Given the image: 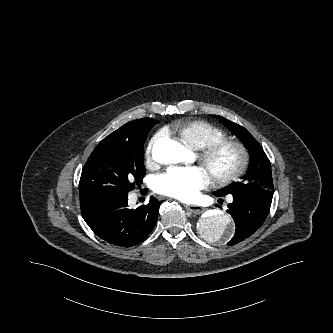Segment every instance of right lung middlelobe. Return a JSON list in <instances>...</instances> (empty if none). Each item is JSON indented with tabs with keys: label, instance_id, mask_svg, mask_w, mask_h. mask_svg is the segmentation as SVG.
I'll return each instance as SVG.
<instances>
[{
	"label": "right lung middle lobe",
	"instance_id": "obj_1",
	"mask_svg": "<svg viewBox=\"0 0 333 333\" xmlns=\"http://www.w3.org/2000/svg\"><path fill=\"white\" fill-rule=\"evenodd\" d=\"M141 120V136L135 145L109 142L97 145L82 170L79 182L80 200L127 195L139 185L145 175L143 145L151 128L159 123L152 118Z\"/></svg>",
	"mask_w": 333,
	"mask_h": 333
}]
</instances>
